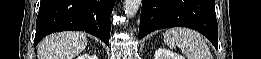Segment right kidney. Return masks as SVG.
<instances>
[{"label":"right kidney","mask_w":261,"mask_h":59,"mask_svg":"<svg viewBox=\"0 0 261 59\" xmlns=\"http://www.w3.org/2000/svg\"><path fill=\"white\" fill-rule=\"evenodd\" d=\"M77 59H97L96 56H87V55H82V56H79Z\"/></svg>","instance_id":"obj_1"}]
</instances>
